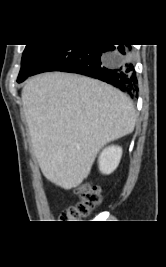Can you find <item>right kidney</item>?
I'll return each instance as SVG.
<instances>
[{
	"instance_id": "ca27d5eb",
	"label": "right kidney",
	"mask_w": 166,
	"mask_h": 267,
	"mask_svg": "<svg viewBox=\"0 0 166 267\" xmlns=\"http://www.w3.org/2000/svg\"><path fill=\"white\" fill-rule=\"evenodd\" d=\"M122 156V148L110 146L102 151L99 156V169L103 174L112 173L119 165Z\"/></svg>"
}]
</instances>
